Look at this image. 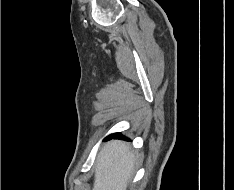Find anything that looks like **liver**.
<instances>
[{
  "label": "liver",
  "instance_id": "obj_1",
  "mask_svg": "<svg viewBox=\"0 0 234 190\" xmlns=\"http://www.w3.org/2000/svg\"><path fill=\"white\" fill-rule=\"evenodd\" d=\"M134 168V155L128 144L110 141L96 160L92 190H127Z\"/></svg>",
  "mask_w": 234,
  "mask_h": 190
}]
</instances>
